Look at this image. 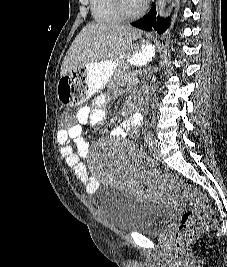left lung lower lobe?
Instances as JSON below:
<instances>
[{
	"instance_id": "0a47b994",
	"label": "left lung lower lobe",
	"mask_w": 227,
	"mask_h": 267,
	"mask_svg": "<svg viewBox=\"0 0 227 267\" xmlns=\"http://www.w3.org/2000/svg\"><path fill=\"white\" fill-rule=\"evenodd\" d=\"M132 26L146 31H152V29L154 28L158 31L159 34H161L166 30L168 22L160 19L159 17H157L156 19V8L155 4L153 3V6L148 14L140 20L132 23Z\"/></svg>"
}]
</instances>
